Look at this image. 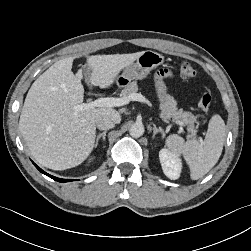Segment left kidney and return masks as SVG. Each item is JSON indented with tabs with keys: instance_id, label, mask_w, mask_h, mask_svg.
I'll list each match as a JSON object with an SVG mask.
<instances>
[{
	"instance_id": "left-kidney-1",
	"label": "left kidney",
	"mask_w": 251,
	"mask_h": 251,
	"mask_svg": "<svg viewBox=\"0 0 251 251\" xmlns=\"http://www.w3.org/2000/svg\"><path fill=\"white\" fill-rule=\"evenodd\" d=\"M159 159L164 174L171 180L178 179L182 169V162L178 155L167 149H162L159 152Z\"/></svg>"
}]
</instances>
